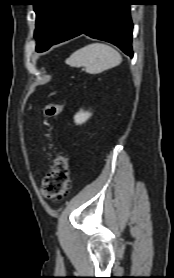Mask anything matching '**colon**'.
<instances>
[{"label": "colon", "instance_id": "colon-1", "mask_svg": "<svg viewBox=\"0 0 174 278\" xmlns=\"http://www.w3.org/2000/svg\"><path fill=\"white\" fill-rule=\"evenodd\" d=\"M45 116L57 117L63 111L61 104H47L44 107ZM70 172L68 159L63 154H56L52 160L50 171L42 181L41 192L50 200H61L69 194Z\"/></svg>", "mask_w": 174, "mask_h": 278}]
</instances>
